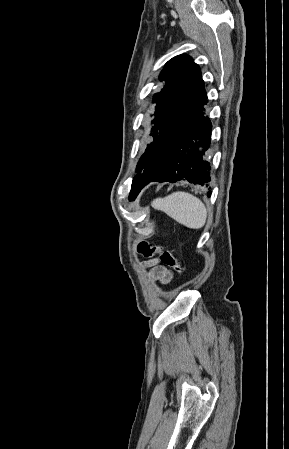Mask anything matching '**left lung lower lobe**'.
I'll list each match as a JSON object with an SVG mask.
<instances>
[{
  "mask_svg": "<svg viewBox=\"0 0 289 449\" xmlns=\"http://www.w3.org/2000/svg\"><path fill=\"white\" fill-rule=\"evenodd\" d=\"M206 104L205 92L199 106L187 122L165 140V160L160 172L142 182L130 196L131 200L152 181L173 183L177 180H187L193 184L208 186L211 181V166L205 156L210 145L212 125L204 112Z\"/></svg>",
  "mask_w": 289,
  "mask_h": 449,
  "instance_id": "left-lung-lower-lobe-1",
  "label": "left lung lower lobe"
}]
</instances>
